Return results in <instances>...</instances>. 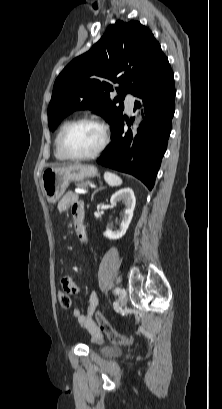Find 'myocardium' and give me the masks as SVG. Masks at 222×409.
<instances>
[{
	"label": "myocardium",
	"mask_w": 222,
	"mask_h": 409,
	"mask_svg": "<svg viewBox=\"0 0 222 409\" xmlns=\"http://www.w3.org/2000/svg\"><path fill=\"white\" fill-rule=\"evenodd\" d=\"M85 123H91L99 126L102 131H103V140L100 145V147L93 153L87 154V155H73L71 154L67 147H66V139L69 135V133L77 126ZM110 142V128L107 125L106 122H104L102 119L98 117H83L77 120H74L72 123H70L65 130L63 131L60 139V149L64 156L69 159V160H74V161H82V160H90V159H95L98 156L101 155V153L106 149Z\"/></svg>",
	"instance_id": "f54148a6"
}]
</instances>
